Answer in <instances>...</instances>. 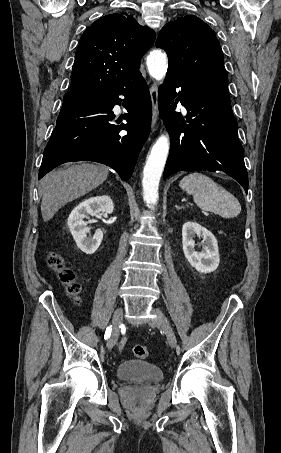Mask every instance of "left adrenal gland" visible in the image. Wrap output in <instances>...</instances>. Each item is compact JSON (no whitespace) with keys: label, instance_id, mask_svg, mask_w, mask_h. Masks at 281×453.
Returning a JSON list of instances; mask_svg holds the SVG:
<instances>
[{"label":"left adrenal gland","instance_id":"obj_1","mask_svg":"<svg viewBox=\"0 0 281 453\" xmlns=\"http://www.w3.org/2000/svg\"><path fill=\"white\" fill-rule=\"evenodd\" d=\"M175 206H176L177 210H179L180 206H178V204H175Z\"/></svg>","mask_w":281,"mask_h":453}]
</instances>
